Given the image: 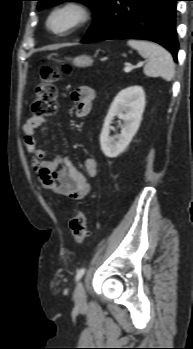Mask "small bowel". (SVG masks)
<instances>
[{
  "mask_svg": "<svg viewBox=\"0 0 193 349\" xmlns=\"http://www.w3.org/2000/svg\"><path fill=\"white\" fill-rule=\"evenodd\" d=\"M95 92L91 87L81 86L72 93L75 102V115L79 118L88 116L92 109ZM46 118L30 117L23 124L24 146L31 155L32 168L44 189L73 199L81 200L91 191L87 177H94L98 172V164L94 157L84 160L85 174L81 173L67 156L58 155L48 159V154L37 146L36 129L46 130Z\"/></svg>",
  "mask_w": 193,
  "mask_h": 349,
  "instance_id": "1",
  "label": "small bowel"
}]
</instances>
